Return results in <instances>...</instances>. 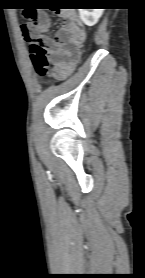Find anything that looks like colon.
I'll list each match as a JSON object with an SVG mask.
<instances>
[{
  "label": "colon",
  "instance_id": "obj_1",
  "mask_svg": "<svg viewBox=\"0 0 145 278\" xmlns=\"http://www.w3.org/2000/svg\"><path fill=\"white\" fill-rule=\"evenodd\" d=\"M32 14L27 13L26 17H31ZM25 40L30 48L31 59L34 64L35 72L38 76L43 77L49 71V60L44 46L35 40L33 37L27 35Z\"/></svg>",
  "mask_w": 145,
  "mask_h": 278
}]
</instances>
